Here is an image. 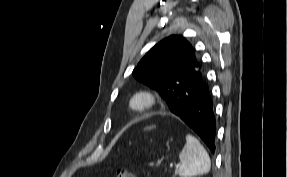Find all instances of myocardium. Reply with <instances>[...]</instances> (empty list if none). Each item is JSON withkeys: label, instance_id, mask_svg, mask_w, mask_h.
I'll return each mask as SVG.
<instances>
[{"label": "myocardium", "instance_id": "1", "mask_svg": "<svg viewBox=\"0 0 287 177\" xmlns=\"http://www.w3.org/2000/svg\"><path fill=\"white\" fill-rule=\"evenodd\" d=\"M159 95L150 88H141L135 91L129 101L128 108L135 115L145 114L159 104Z\"/></svg>", "mask_w": 287, "mask_h": 177}]
</instances>
